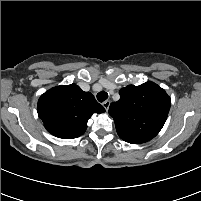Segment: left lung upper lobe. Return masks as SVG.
Listing matches in <instances>:
<instances>
[{"label": "left lung upper lobe", "mask_w": 201, "mask_h": 201, "mask_svg": "<svg viewBox=\"0 0 201 201\" xmlns=\"http://www.w3.org/2000/svg\"><path fill=\"white\" fill-rule=\"evenodd\" d=\"M119 94L120 99L109 107L118 135L132 144L150 141L167 119L170 97L151 81L139 86L128 85Z\"/></svg>", "instance_id": "left-lung-upper-lobe-1"}]
</instances>
